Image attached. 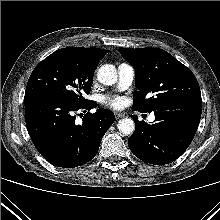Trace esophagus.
I'll return each mask as SVG.
<instances>
[{"label": "esophagus", "mask_w": 220, "mask_h": 220, "mask_svg": "<svg viewBox=\"0 0 220 220\" xmlns=\"http://www.w3.org/2000/svg\"><path fill=\"white\" fill-rule=\"evenodd\" d=\"M125 115L123 114V113H121V112H115V117H116V119H119V118H122V117H124Z\"/></svg>", "instance_id": "1"}]
</instances>
